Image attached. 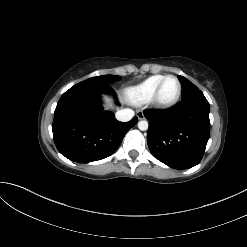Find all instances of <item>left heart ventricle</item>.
<instances>
[{"instance_id": "left-heart-ventricle-1", "label": "left heart ventricle", "mask_w": 247, "mask_h": 247, "mask_svg": "<svg viewBox=\"0 0 247 247\" xmlns=\"http://www.w3.org/2000/svg\"><path fill=\"white\" fill-rule=\"evenodd\" d=\"M177 82L175 79L173 78H169L168 80H166V82L164 83L162 89H161V93H160V98L163 101H169L172 98H174V96L177 93Z\"/></svg>"}]
</instances>
